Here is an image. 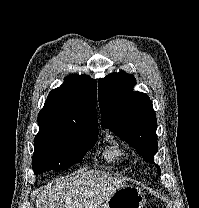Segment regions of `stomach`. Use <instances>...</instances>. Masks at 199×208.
Listing matches in <instances>:
<instances>
[{
  "label": "stomach",
  "instance_id": "1",
  "mask_svg": "<svg viewBox=\"0 0 199 208\" xmlns=\"http://www.w3.org/2000/svg\"><path fill=\"white\" fill-rule=\"evenodd\" d=\"M145 203L146 199L141 189L126 185L119 188L98 208H143Z\"/></svg>",
  "mask_w": 199,
  "mask_h": 208
}]
</instances>
